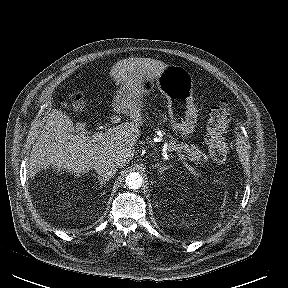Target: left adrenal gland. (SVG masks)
I'll return each mask as SVG.
<instances>
[{"label": "left adrenal gland", "mask_w": 288, "mask_h": 288, "mask_svg": "<svg viewBox=\"0 0 288 288\" xmlns=\"http://www.w3.org/2000/svg\"><path fill=\"white\" fill-rule=\"evenodd\" d=\"M156 168H158V172L160 173V175H162V173L166 170H168L170 167L169 166H166V167H161L158 165H155Z\"/></svg>", "instance_id": "left-adrenal-gland-1"}]
</instances>
